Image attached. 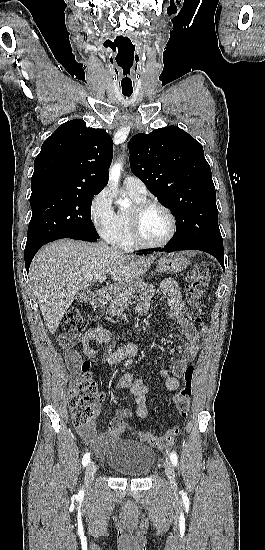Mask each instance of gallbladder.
Returning a JSON list of instances; mask_svg holds the SVG:
<instances>
[{
  "instance_id": "obj_1",
  "label": "gallbladder",
  "mask_w": 265,
  "mask_h": 550,
  "mask_svg": "<svg viewBox=\"0 0 265 550\" xmlns=\"http://www.w3.org/2000/svg\"><path fill=\"white\" fill-rule=\"evenodd\" d=\"M93 296H94V293L91 292V291H82V292L78 293L77 298L81 302H89V301H91Z\"/></svg>"
}]
</instances>
